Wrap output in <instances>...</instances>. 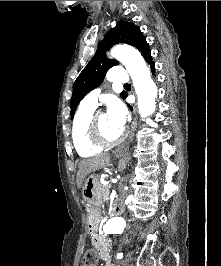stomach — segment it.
I'll return each instance as SVG.
<instances>
[{
    "label": "stomach",
    "mask_w": 221,
    "mask_h": 266,
    "mask_svg": "<svg viewBox=\"0 0 221 266\" xmlns=\"http://www.w3.org/2000/svg\"><path fill=\"white\" fill-rule=\"evenodd\" d=\"M82 198L88 204V226L95 228L100 207L103 205L104 198L101 191V183L97 174H91L85 179L82 187Z\"/></svg>",
    "instance_id": "stomach-1"
}]
</instances>
